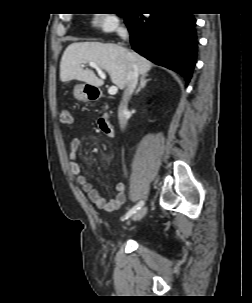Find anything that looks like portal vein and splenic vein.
<instances>
[{
	"mask_svg": "<svg viewBox=\"0 0 252 303\" xmlns=\"http://www.w3.org/2000/svg\"><path fill=\"white\" fill-rule=\"evenodd\" d=\"M90 67H93L96 69V71L98 72L99 76H101L102 78H105V74L104 72L100 69V67L96 64V63H93V62H90L89 63ZM118 92V88L116 86H112L108 89V93L110 95H115L116 93Z\"/></svg>",
	"mask_w": 252,
	"mask_h": 303,
	"instance_id": "18ae733b",
	"label": "portal vein and splenic vein"
}]
</instances>
